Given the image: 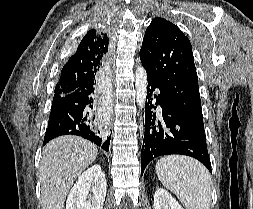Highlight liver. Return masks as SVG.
Masks as SVG:
<instances>
[{"label":"liver","instance_id":"obj_1","mask_svg":"<svg viewBox=\"0 0 253 209\" xmlns=\"http://www.w3.org/2000/svg\"><path fill=\"white\" fill-rule=\"evenodd\" d=\"M97 154L96 145L78 136H60L46 144L39 167L42 209H64L75 179Z\"/></svg>","mask_w":253,"mask_h":209}]
</instances>
